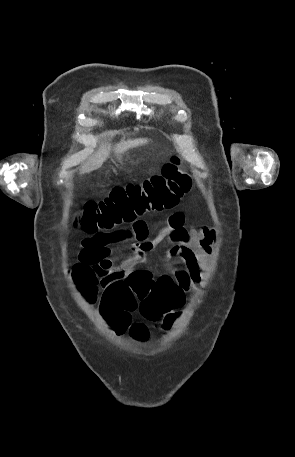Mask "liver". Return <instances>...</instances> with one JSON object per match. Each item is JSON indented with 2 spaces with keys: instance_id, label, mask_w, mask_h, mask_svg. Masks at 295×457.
Segmentation results:
<instances>
[{
  "instance_id": "obj_1",
  "label": "liver",
  "mask_w": 295,
  "mask_h": 457,
  "mask_svg": "<svg viewBox=\"0 0 295 457\" xmlns=\"http://www.w3.org/2000/svg\"><path fill=\"white\" fill-rule=\"evenodd\" d=\"M148 139L146 138H138V139H122L119 143L114 146V152L116 154H123L127 150L136 148L139 146H143L148 143ZM111 144L103 143L99 146L95 154L87 161L83 166L80 168V173H89L94 171L102 166L105 160L109 157L111 151Z\"/></svg>"
}]
</instances>
